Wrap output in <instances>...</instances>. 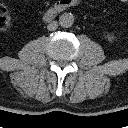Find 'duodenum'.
<instances>
[{
  "label": "duodenum",
  "instance_id": "410a0bca",
  "mask_svg": "<svg viewBox=\"0 0 128 128\" xmlns=\"http://www.w3.org/2000/svg\"><path fill=\"white\" fill-rule=\"evenodd\" d=\"M79 2V0H58L44 13V19L46 21H52L60 12L68 8L77 6Z\"/></svg>",
  "mask_w": 128,
  "mask_h": 128
}]
</instances>
